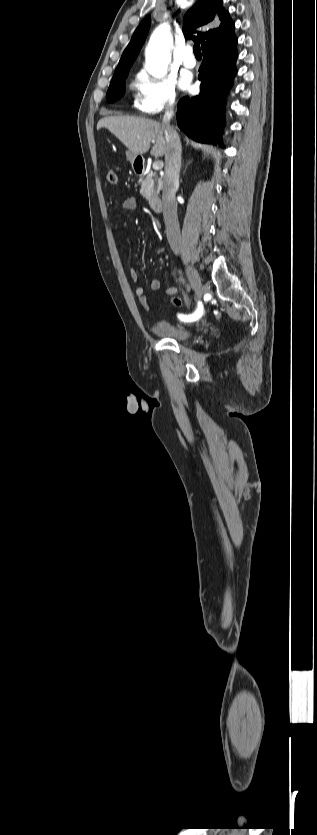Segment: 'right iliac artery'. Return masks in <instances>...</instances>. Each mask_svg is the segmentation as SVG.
<instances>
[{
	"instance_id": "82829eb1",
	"label": "right iliac artery",
	"mask_w": 317,
	"mask_h": 835,
	"mask_svg": "<svg viewBox=\"0 0 317 835\" xmlns=\"http://www.w3.org/2000/svg\"><path fill=\"white\" fill-rule=\"evenodd\" d=\"M202 314H203V305H202V302L199 301L198 302V307L193 314L188 315V316L181 315L180 317L184 320H187V321H195V320L199 319L202 316Z\"/></svg>"
}]
</instances>
